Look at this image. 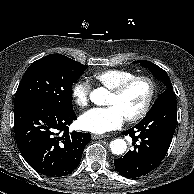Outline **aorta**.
I'll return each instance as SVG.
<instances>
[{
	"mask_svg": "<svg viewBox=\"0 0 194 194\" xmlns=\"http://www.w3.org/2000/svg\"><path fill=\"white\" fill-rule=\"evenodd\" d=\"M106 93L107 90L104 88L95 89L90 94V99L96 105H102L104 103ZM126 148H127L126 141L121 138L115 139L110 143L111 152L116 155L123 154L126 151Z\"/></svg>",
	"mask_w": 194,
	"mask_h": 194,
	"instance_id": "aorta-1",
	"label": "aorta"
}]
</instances>
